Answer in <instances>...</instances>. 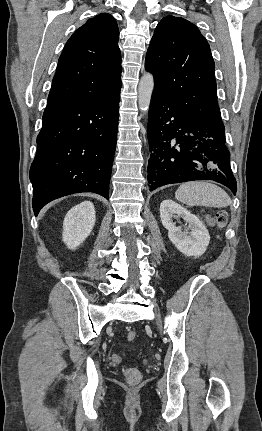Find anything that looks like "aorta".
<instances>
[{
	"mask_svg": "<svg viewBox=\"0 0 262 431\" xmlns=\"http://www.w3.org/2000/svg\"><path fill=\"white\" fill-rule=\"evenodd\" d=\"M153 89L154 77L151 73H145L138 86V106L144 115L148 113Z\"/></svg>",
	"mask_w": 262,
	"mask_h": 431,
	"instance_id": "1",
	"label": "aorta"
}]
</instances>
